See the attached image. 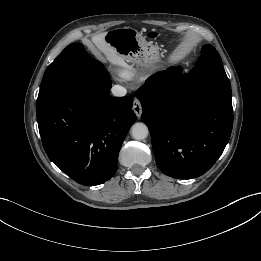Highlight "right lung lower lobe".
<instances>
[{
	"label": "right lung lower lobe",
	"instance_id": "1",
	"mask_svg": "<svg viewBox=\"0 0 261 261\" xmlns=\"http://www.w3.org/2000/svg\"><path fill=\"white\" fill-rule=\"evenodd\" d=\"M106 73L78 80L36 109L42 144L56 166L94 186L117 170L121 145L136 121L131 97H109Z\"/></svg>",
	"mask_w": 261,
	"mask_h": 261
}]
</instances>
